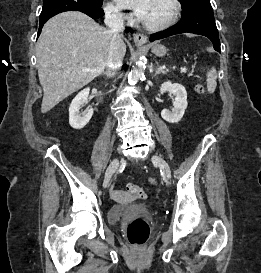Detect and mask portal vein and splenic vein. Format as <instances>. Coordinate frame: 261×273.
Wrapping results in <instances>:
<instances>
[{"instance_id": "1", "label": "portal vein and splenic vein", "mask_w": 261, "mask_h": 273, "mask_svg": "<svg viewBox=\"0 0 261 273\" xmlns=\"http://www.w3.org/2000/svg\"><path fill=\"white\" fill-rule=\"evenodd\" d=\"M84 71H85V72H89V71H90V69L85 68V69H84ZM181 72H184V73H185V72H186V69H185V68H181Z\"/></svg>"}]
</instances>
